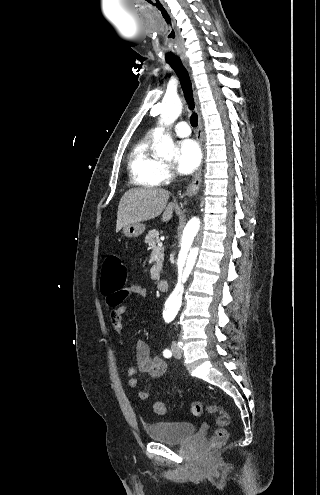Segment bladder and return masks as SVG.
<instances>
[{
	"instance_id": "obj_1",
	"label": "bladder",
	"mask_w": 320,
	"mask_h": 495,
	"mask_svg": "<svg viewBox=\"0 0 320 495\" xmlns=\"http://www.w3.org/2000/svg\"><path fill=\"white\" fill-rule=\"evenodd\" d=\"M196 426L188 421H160L149 423L146 432L150 438L166 444H179L195 433Z\"/></svg>"
}]
</instances>
